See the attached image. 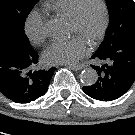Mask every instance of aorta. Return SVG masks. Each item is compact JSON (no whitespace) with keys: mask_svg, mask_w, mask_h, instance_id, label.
I'll return each instance as SVG.
<instances>
[{"mask_svg":"<svg viewBox=\"0 0 135 135\" xmlns=\"http://www.w3.org/2000/svg\"><path fill=\"white\" fill-rule=\"evenodd\" d=\"M46 32L51 38H60L63 35V28L56 23H49ZM80 78L85 85H93L98 80V74L93 68H85L82 70Z\"/></svg>","mask_w":135,"mask_h":135,"instance_id":"obj_1","label":"aorta"}]
</instances>
